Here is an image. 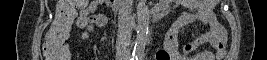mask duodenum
I'll list each match as a JSON object with an SVG mask.
<instances>
[{
  "mask_svg": "<svg viewBox=\"0 0 267 60\" xmlns=\"http://www.w3.org/2000/svg\"><path fill=\"white\" fill-rule=\"evenodd\" d=\"M103 2L107 3L110 7H112L113 10L115 9L114 0H103ZM165 11L166 9L164 7L158 5L150 11V15L154 21H158L164 15Z\"/></svg>",
  "mask_w": 267,
  "mask_h": 60,
  "instance_id": "410a0bca",
  "label": "duodenum"
}]
</instances>
